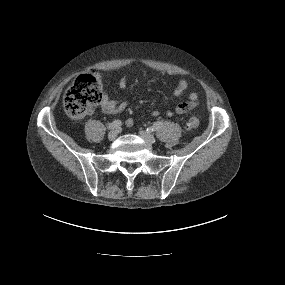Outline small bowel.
<instances>
[{"label":"small bowel","instance_id":"1","mask_svg":"<svg viewBox=\"0 0 285 285\" xmlns=\"http://www.w3.org/2000/svg\"><path fill=\"white\" fill-rule=\"evenodd\" d=\"M128 79L124 75L120 78L118 87L120 90H123L127 87ZM189 83L187 79L181 77L178 79L176 87L174 89V95L180 97L186 93L188 90ZM128 101L122 98L119 99H111L108 94L105 92L102 96V100L100 101V108L101 110L108 115H118L122 113L128 106ZM199 104V96L195 91H190L188 93V99L185 102H182L176 106L174 110L168 109L166 111V115L168 117H172L174 115H183L188 111L196 108ZM153 116H158L159 111L153 110ZM126 124L128 126H132L134 124L133 119H128Z\"/></svg>","mask_w":285,"mask_h":285}]
</instances>
